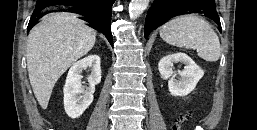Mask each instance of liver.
<instances>
[{"mask_svg": "<svg viewBox=\"0 0 257 130\" xmlns=\"http://www.w3.org/2000/svg\"><path fill=\"white\" fill-rule=\"evenodd\" d=\"M96 32L77 15L60 12L43 17L27 40V69L34 95L46 109L60 76L94 46Z\"/></svg>", "mask_w": 257, "mask_h": 130, "instance_id": "obj_1", "label": "liver"}]
</instances>
